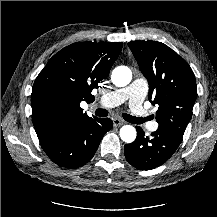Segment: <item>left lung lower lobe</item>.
I'll list each match as a JSON object with an SVG mask.
<instances>
[{
    "label": "left lung lower lobe",
    "instance_id": "1",
    "mask_svg": "<svg viewBox=\"0 0 217 217\" xmlns=\"http://www.w3.org/2000/svg\"><path fill=\"white\" fill-rule=\"evenodd\" d=\"M137 138L133 143L124 146L126 160L140 170L154 169L165 163L176 151L182 137L165 128H158L145 136L141 127H136Z\"/></svg>",
    "mask_w": 217,
    "mask_h": 217
}]
</instances>
